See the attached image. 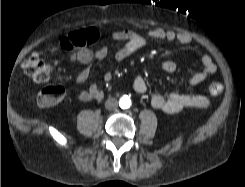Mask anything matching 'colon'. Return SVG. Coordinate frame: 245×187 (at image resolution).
Wrapping results in <instances>:
<instances>
[{
	"label": "colon",
	"mask_w": 245,
	"mask_h": 187,
	"mask_svg": "<svg viewBox=\"0 0 245 187\" xmlns=\"http://www.w3.org/2000/svg\"><path fill=\"white\" fill-rule=\"evenodd\" d=\"M90 44L85 31H74L61 39L60 45L65 50L83 48ZM24 72L37 83H45L52 78L54 68L51 64L42 61L37 54L29 55L22 63ZM224 90L221 83L213 82L208 85V93L216 97ZM66 95L62 85H48L38 96V103L42 107H52L60 103Z\"/></svg>",
	"instance_id": "obj_1"
}]
</instances>
